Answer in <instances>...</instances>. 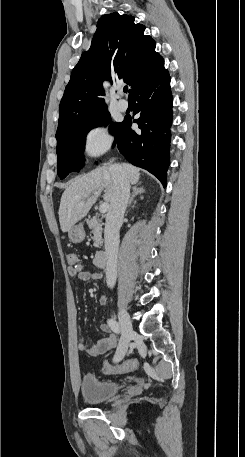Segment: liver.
<instances>
[{"label": "liver", "instance_id": "liver-1", "mask_svg": "<svg viewBox=\"0 0 245 457\" xmlns=\"http://www.w3.org/2000/svg\"><path fill=\"white\" fill-rule=\"evenodd\" d=\"M117 166H121L131 184L139 182L140 168L133 166V164H127V162H122ZM101 190L105 192L104 200L111 202L114 186L109 166H98L91 172L74 178L73 182L65 188L59 206V220L63 233L70 231L75 222L86 216ZM92 192H97V194L91 196Z\"/></svg>", "mask_w": 245, "mask_h": 457}]
</instances>
